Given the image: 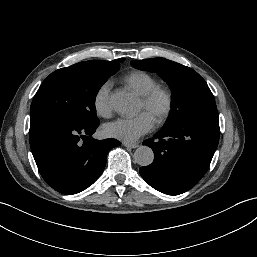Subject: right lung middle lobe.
<instances>
[{"instance_id": "dd1d6c3e", "label": "right lung middle lobe", "mask_w": 257, "mask_h": 257, "mask_svg": "<svg viewBox=\"0 0 257 257\" xmlns=\"http://www.w3.org/2000/svg\"><path fill=\"white\" fill-rule=\"evenodd\" d=\"M120 69V62L100 68L80 62L51 73L31 103L30 117H49L68 124L98 122L95 98L107 79Z\"/></svg>"}]
</instances>
